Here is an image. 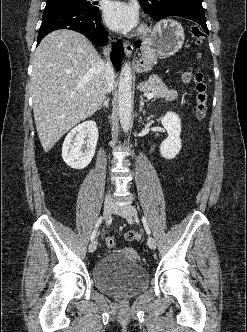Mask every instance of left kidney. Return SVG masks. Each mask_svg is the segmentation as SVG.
I'll use <instances>...</instances> for the list:
<instances>
[{
  "mask_svg": "<svg viewBox=\"0 0 247 332\" xmlns=\"http://www.w3.org/2000/svg\"><path fill=\"white\" fill-rule=\"evenodd\" d=\"M161 123L168 133V137L160 144V154L165 159H173L180 152L182 144L180 139L181 134V119L174 112H167L162 117Z\"/></svg>",
  "mask_w": 247,
  "mask_h": 332,
  "instance_id": "left-kidney-1",
  "label": "left kidney"
}]
</instances>
